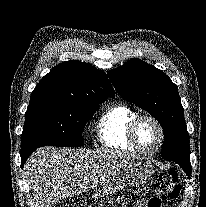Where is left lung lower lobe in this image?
<instances>
[{"label":"left lung lower lobe","mask_w":206,"mask_h":207,"mask_svg":"<svg viewBox=\"0 0 206 207\" xmlns=\"http://www.w3.org/2000/svg\"><path fill=\"white\" fill-rule=\"evenodd\" d=\"M183 170H184V169H183ZM184 171H185V170H184ZM185 172H186V174L188 175V177H190V174H191V173H187V171H185Z\"/></svg>","instance_id":"obj_1"}]
</instances>
